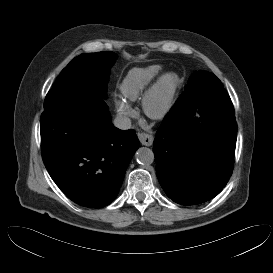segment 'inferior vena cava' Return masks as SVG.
Returning a JSON list of instances; mask_svg holds the SVG:
<instances>
[{"label":"inferior vena cava","mask_w":273,"mask_h":273,"mask_svg":"<svg viewBox=\"0 0 273 273\" xmlns=\"http://www.w3.org/2000/svg\"><path fill=\"white\" fill-rule=\"evenodd\" d=\"M113 124L115 127L121 129V130H127L131 128V121L128 117L118 115L113 121Z\"/></svg>","instance_id":"inferior-vena-cava-1"}]
</instances>
